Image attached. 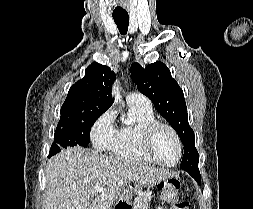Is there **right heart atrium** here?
<instances>
[{
    "mask_svg": "<svg viewBox=\"0 0 253 209\" xmlns=\"http://www.w3.org/2000/svg\"><path fill=\"white\" fill-rule=\"evenodd\" d=\"M117 136L118 130L111 111L101 114L91 127L90 137L96 150H111L116 143Z\"/></svg>",
    "mask_w": 253,
    "mask_h": 209,
    "instance_id": "1",
    "label": "right heart atrium"
}]
</instances>
